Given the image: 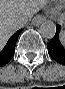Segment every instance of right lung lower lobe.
<instances>
[{
	"label": "right lung lower lobe",
	"mask_w": 65,
	"mask_h": 89,
	"mask_svg": "<svg viewBox=\"0 0 65 89\" xmlns=\"http://www.w3.org/2000/svg\"><path fill=\"white\" fill-rule=\"evenodd\" d=\"M22 29L18 30L7 43L0 44V67L6 65L14 56L16 41Z\"/></svg>",
	"instance_id": "1"
}]
</instances>
